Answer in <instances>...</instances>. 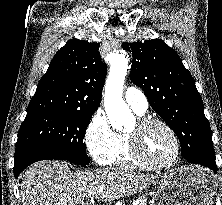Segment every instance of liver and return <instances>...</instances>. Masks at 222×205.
<instances>
[{"label": "liver", "instance_id": "6515ba94", "mask_svg": "<svg viewBox=\"0 0 222 205\" xmlns=\"http://www.w3.org/2000/svg\"><path fill=\"white\" fill-rule=\"evenodd\" d=\"M156 178L124 167L72 173L68 162L46 160L25 172L20 194L22 205H85L87 197L111 202L144 190Z\"/></svg>", "mask_w": 222, "mask_h": 205}]
</instances>
